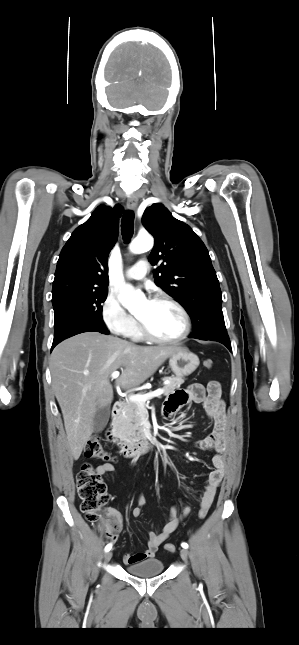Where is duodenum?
Here are the masks:
<instances>
[{"label": "duodenum", "mask_w": 299, "mask_h": 645, "mask_svg": "<svg viewBox=\"0 0 299 645\" xmlns=\"http://www.w3.org/2000/svg\"><path fill=\"white\" fill-rule=\"evenodd\" d=\"M123 410H124V406L121 402H116L113 405L112 424L107 430L106 437L108 441L115 443L119 447V450L124 457L126 458L139 457L143 454H146L150 450H152L156 444V441L151 436L144 437L143 439L137 442H127V441L120 440L114 430V423L119 418V416L123 413Z\"/></svg>", "instance_id": "duodenum-1"}]
</instances>
